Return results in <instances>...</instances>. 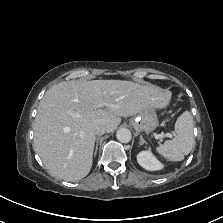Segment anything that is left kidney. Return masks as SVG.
Returning a JSON list of instances; mask_svg holds the SVG:
<instances>
[{
    "label": "left kidney",
    "mask_w": 223,
    "mask_h": 223,
    "mask_svg": "<svg viewBox=\"0 0 223 223\" xmlns=\"http://www.w3.org/2000/svg\"><path fill=\"white\" fill-rule=\"evenodd\" d=\"M137 161L140 166L149 171H156L163 168L161 162H159L151 151H141L137 155Z\"/></svg>",
    "instance_id": "obj_1"
}]
</instances>
